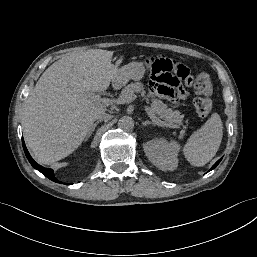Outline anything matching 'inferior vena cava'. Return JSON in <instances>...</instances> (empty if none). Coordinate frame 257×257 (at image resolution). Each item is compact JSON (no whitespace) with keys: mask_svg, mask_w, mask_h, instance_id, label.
Returning a JSON list of instances; mask_svg holds the SVG:
<instances>
[{"mask_svg":"<svg viewBox=\"0 0 257 257\" xmlns=\"http://www.w3.org/2000/svg\"><path fill=\"white\" fill-rule=\"evenodd\" d=\"M112 118V116L105 111L99 112L96 115V119L103 120V121H109Z\"/></svg>","mask_w":257,"mask_h":257,"instance_id":"602c4592","label":"inferior vena cava"}]
</instances>
